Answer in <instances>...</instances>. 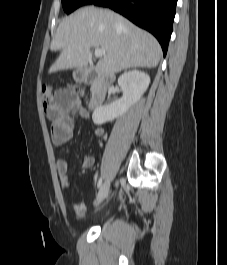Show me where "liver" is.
<instances>
[{
  "mask_svg": "<svg viewBox=\"0 0 227 265\" xmlns=\"http://www.w3.org/2000/svg\"><path fill=\"white\" fill-rule=\"evenodd\" d=\"M92 47L106 52L96 66L102 76L130 68H154L162 54L155 37L128 19L109 10L86 7L60 22L50 48L61 53L49 73L85 67Z\"/></svg>",
  "mask_w": 227,
  "mask_h": 265,
  "instance_id": "1",
  "label": "liver"
}]
</instances>
